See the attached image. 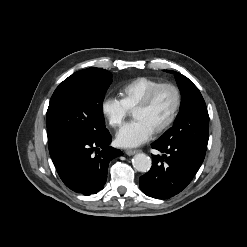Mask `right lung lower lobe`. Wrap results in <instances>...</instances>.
Segmentation results:
<instances>
[{
    "mask_svg": "<svg viewBox=\"0 0 247 247\" xmlns=\"http://www.w3.org/2000/svg\"><path fill=\"white\" fill-rule=\"evenodd\" d=\"M111 135L104 132L91 137H77L49 148L54 166L64 184L83 195L103 189L111 159L123 153L110 146Z\"/></svg>",
    "mask_w": 247,
    "mask_h": 247,
    "instance_id": "obj_1",
    "label": "right lung lower lobe"
}]
</instances>
